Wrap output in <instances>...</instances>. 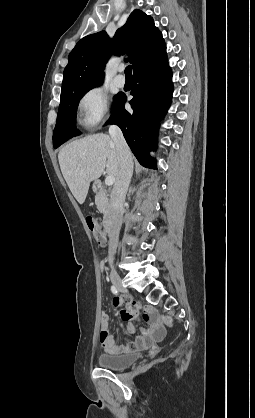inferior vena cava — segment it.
<instances>
[{
    "label": "inferior vena cava",
    "mask_w": 255,
    "mask_h": 418,
    "mask_svg": "<svg viewBox=\"0 0 255 418\" xmlns=\"http://www.w3.org/2000/svg\"><path fill=\"white\" fill-rule=\"evenodd\" d=\"M109 134L116 146L118 154V171L116 182L111 193L112 225L109 233L108 253L110 258H112L118 246L119 232L122 225L123 203L133 173V160L121 129L116 125H111Z\"/></svg>",
    "instance_id": "inferior-vena-cava-1"
}]
</instances>
